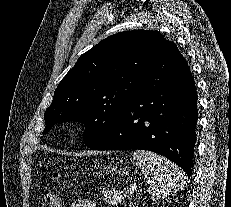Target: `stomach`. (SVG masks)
Returning a JSON list of instances; mask_svg holds the SVG:
<instances>
[{
    "label": "stomach",
    "instance_id": "1",
    "mask_svg": "<svg viewBox=\"0 0 231 207\" xmlns=\"http://www.w3.org/2000/svg\"><path fill=\"white\" fill-rule=\"evenodd\" d=\"M100 169H102V167H100ZM103 170H105L106 173L115 172L117 170V166H104Z\"/></svg>",
    "mask_w": 231,
    "mask_h": 207
}]
</instances>
